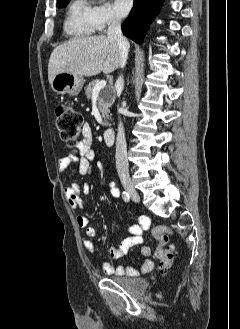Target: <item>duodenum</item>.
<instances>
[{
	"mask_svg": "<svg viewBox=\"0 0 240 329\" xmlns=\"http://www.w3.org/2000/svg\"><path fill=\"white\" fill-rule=\"evenodd\" d=\"M103 139L107 145H112L115 139V131L112 127L107 128L103 133Z\"/></svg>",
	"mask_w": 240,
	"mask_h": 329,
	"instance_id": "410a0bca",
	"label": "duodenum"
}]
</instances>
